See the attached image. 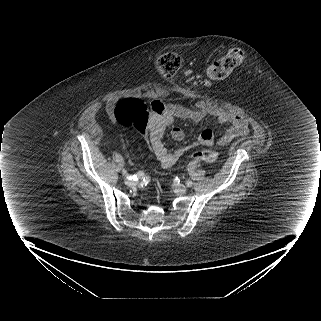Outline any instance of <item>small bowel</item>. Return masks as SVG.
Returning a JSON list of instances; mask_svg holds the SVG:
<instances>
[{
  "mask_svg": "<svg viewBox=\"0 0 321 321\" xmlns=\"http://www.w3.org/2000/svg\"><path fill=\"white\" fill-rule=\"evenodd\" d=\"M114 100H110L107 109L113 118ZM206 117L204 110H195L182 105L167 104L160 100H154L150 104L147 132L150 138L151 149L155 157L163 167L173 166L180 157L193 145L181 147L175 150L168 149L163 142L164 131L172 125L175 119L190 120L194 123L202 122ZM216 120L220 124H228L230 128L219 137L212 130L205 129L198 137L197 143L212 146L214 144L225 145L240 136L248 133V124L244 117L225 111L216 114ZM171 137L175 141H181L185 137L184 131L175 127L171 130ZM196 144V143H195Z\"/></svg>",
  "mask_w": 321,
  "mask_h": 321,
  "instance_id": "1",
  "label": "small bowel"
}]
</instances>
